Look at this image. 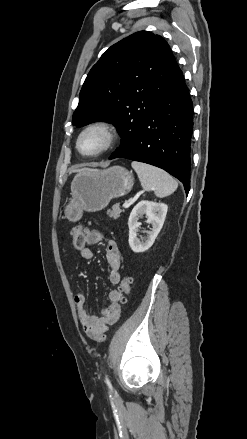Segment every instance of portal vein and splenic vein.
Masks as SVG:
<instances>
[{
  "label": "portal vein and splenic vein",
  "mask_w": 247,
  "mask_h": 439,
  "mask_svg": "<svg viewBox=\"0 0 247 439\" xmlns=\"http://www.w3.org/2000/svg\"><path fill=\"white\" fill-rule=\"evenodd\" d=\"M130 206V203L128 202V201H125L124 203H123V207L124 208H128Z\"/></svg>",
  "instance_id": "obj_1"
}]
</instances>
